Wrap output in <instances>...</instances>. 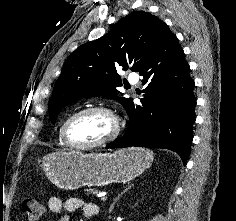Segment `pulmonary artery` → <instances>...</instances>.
I'll list each match as a JSON object with an SVG mask.
<instances>
[{"instance_id":"obj_1","label":"pulmonary artery","mask_w":236,"mask_h":221,"mask_svg":"<svg viewBox=\"0 0 236 221\" xmlns=\"http://www.w3.org/2000/svg\"><path fill=\"white\" fill-rule=\"evenodd\" d=\"M128 79L131 84H137L139 82V76L136 74L129 75Z\"/></svg>"}]
</instances>
